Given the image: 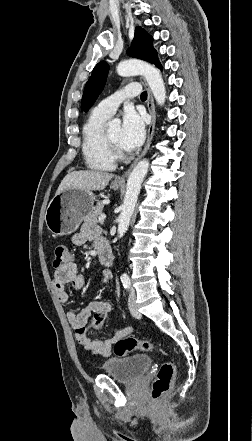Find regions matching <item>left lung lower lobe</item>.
Segmentation results:
<instances>
[{
  "label": "left lung lower lobe",
  "instance_id": "0a47b994",
  "mask_svg": "<svg viewBox=\"0 0 252 441\" xmlns=\"http://www.w3.org/2000/svg\"><path fill=\"white\" fill-rule=\"evenodd\" d=\"M158 68H160V69H162V67H161V65H160V63H159V61L155 64Z\"/></svg>",
  "mask_w": 252,
  "mask_h": 441
}]
</instances>
